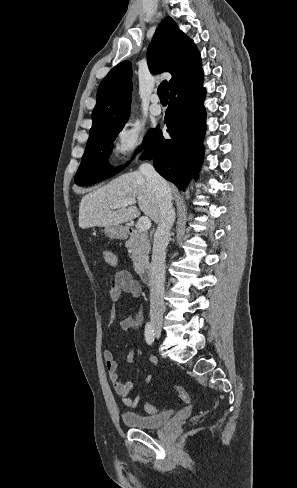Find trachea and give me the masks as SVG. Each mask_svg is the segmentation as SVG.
Segmentation results:
<instances>
[{
	"label": "trachea",
	"instance_id": "obj_1",
	"mask_svg": "<svg viewBox=\"0 0 297 488\" xmlns=\"http://www.w3.org/2000/svg\"><path fill=\"white\" fill-rule=\"evenodd\" d=\"M157 94L162 104H166L168 102L169 86L166 80L161 82V84L159 85Z\"/></svg>",
	"mask_w": 297,
	"mask_h": 488
}]
</instances>
